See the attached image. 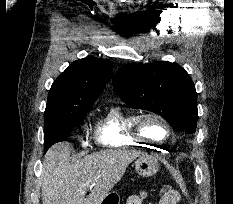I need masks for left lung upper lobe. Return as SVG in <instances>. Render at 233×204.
Segmentation results:
<instances>
[{
    "mask_svg": "<svg viewBox=\"0 0 233 204\" xmlns=\"http://www.w3.org/2000/svg\"><path fill=\"white\" fill-rule=\"evenodd\" d=\"M113 87L128 107L162 116L175 132L196 131L195 85L178 64L157 62L124 66L115 73Z\"/></svg>",
    "mask_w": 233,
    "mask_h": 204,
    "instance_id": "left-lung-upper-lobe-1",
    "label": "left lung upper lobe"
}]
</instances>
